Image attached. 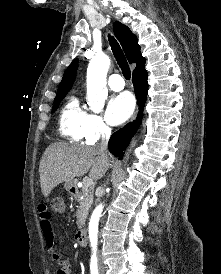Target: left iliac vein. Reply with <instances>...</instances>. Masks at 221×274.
<instances>
[{
  "instance_id": "1",
  "label": "left iliac vein",
  "mask_w": 221,
  "mask_h": 274,
  "mask_svg": "<svg viewBox=\"0 0 221 274\" xmlns=\"http://www.w3.org/2000/svg\"><path fill=\"white\" fill-rule=\"evenodd\" d=\"M100 274H104V270H103L102 265H100Z\"/></svg>"
}]
</instances>
